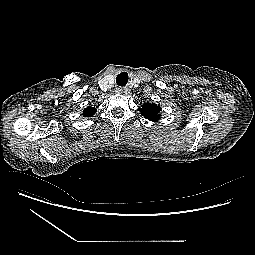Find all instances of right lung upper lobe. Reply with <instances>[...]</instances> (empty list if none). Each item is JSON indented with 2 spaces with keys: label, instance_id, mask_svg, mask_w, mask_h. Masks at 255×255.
<instances>
[{
  "label": "right lung upper lobe",
  "instance_id": "obj_1",
  "mask_svg": "<svg viewBox=\"0 0 255 255\" xmlns=\"http://www.w3.org/2000/svg\"><path fill=\"white\" fill-rule=\"evenodd\" d=\"M95 113H96L95 107H91V106L87 107L83 112L84 116L86 117L93 116Z\"/></svg>",
  "mask_w": 255,
  "mask_h": 255
}]
</instances>
